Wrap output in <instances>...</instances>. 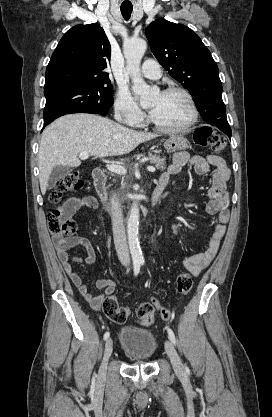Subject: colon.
I'll return each instance as SVG.
<instances>
[{"label":"colon","mask_w":272,"mask_h":417,"mask_svg":"<svg viewBox=\"0 0 272 417\" xmlns=\"http://www.w3.org/2000/svg\"><path fill=\"white\" fill-rule=\"evenodd\" d=\"M196 145L207 147L214 152H220L225 147V141L213 128L209 126L198 127L193 135ZM83 185L78 173L73 172L64 175L56 184L49 196L53 204H57L67 192L77 191ZM48 228L54 237L65 239L73 235L76 231V224L72 220H63L58 209H53L48 213ZM193 287L192 276L181 273L176 279L177 292L185 296ZM155 309L159 311L163 320H170L173 316L171 310L163 307L160 301L152 297L148 302L142 303L136 311L137 321L144 326H149L155 318ZM102 310L106 317L114 323H124L130 316V309L119 305L115 296H108L102 304Z\"/></svg>","instance_id":"obj_1"}]
</instances>
